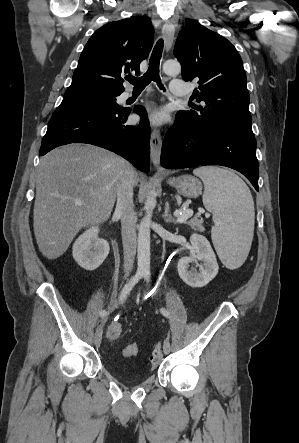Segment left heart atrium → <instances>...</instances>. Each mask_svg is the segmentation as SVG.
Returning <instances> with one entry per match:
<instances>
[{
    "label": "left heart atrium",
    "mask_w": 299,
    "mask_h": 443,
    "mask_svg": "<svg viewBox=\"0 0 299 443\" xmlns=\"http://www.w3.org/2000/svg\"><path fill=\"white\" fill-rule=\"evenodd\" d=\"M148 120L154 125H160L165 122L166 114L162 110H156L148 114Z\"/></svg>",
    "instance_id": "obj_1"
}]
</instances>
